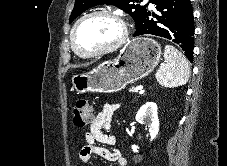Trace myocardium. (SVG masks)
<instances>
[{"label": "myocardium", "mask_w": 227, "mask_h": 166, "mask_svg": "<svg viewBox=\"0 0 227 166\" xmlns=\"http://www.w3.org/2000/svg\"><path fill=\"white\" fill-rule=\"evenodd\" d=\"M94 16H107V17H110L113 20H115L120 25L121 36L114 44L109 45L105 48H102V49H99L96 51H91V52H83L76 45L75 34L77 31V28L83 21H85L88 18L94 17ZM128 34H129V31H128L127 24L124 21V19L121 17V15H119L118 13L113 12V11L98 10V11H92V12H89V13L83 15L75 22V24L72 27L71 33H70V43H71L72 50L77 55L82 56V57L92 58V57L103 56V55L116 51L117 49H119L121 46H123L126 43V41L128 39Z\"/></svg>", "instance_id": "myocardium-1"}]
</instances>
